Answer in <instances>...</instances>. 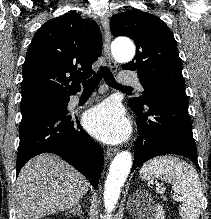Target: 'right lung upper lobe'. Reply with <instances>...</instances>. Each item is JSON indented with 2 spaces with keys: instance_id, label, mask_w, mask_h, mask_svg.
I'll use <instances>...</instances> for the list:
<instances>
[{
  "instance_id": "cb5924a9",
  "label": "right lung upper lobe",
  "mask_w": 211,
  "mask_h": 219,
  "mask_svg": "<svg viewBox=\"0 0 211 219\" xmlns=\"http://www.w3.org/2000/svg\"><path fill=\"white\" fill-rule=\"evenodd\" d=\"M102 36L95 21L65 14L47 21L34 35L23 64L21 105L69 99L89 78L101 54Z\"/></svg>"
}]
</instances>
